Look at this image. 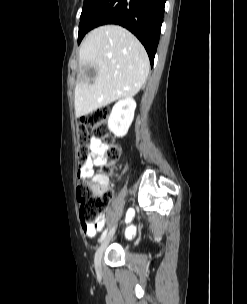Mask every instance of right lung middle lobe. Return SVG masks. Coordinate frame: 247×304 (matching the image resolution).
<instances>
[{"mask_svg": "<svg viewBox=\"0 0 247 304\" xmlns=\"http://www.w3.org/2000/svg\"><path fill=\"white\" fill-rule=\"evenodd\" d=\"M100 2V0H84L82 13L80 16V24H79V34L78 40L82 39L84 36V29L82 27V20L94 9V7Z\"/></svg>", "mask_w": 247, "mask_h": 304, "instance_id": "dd1d6c3e", "label": "right lung middle lobe"}]
</instances>
